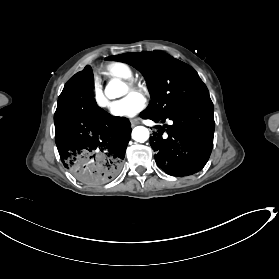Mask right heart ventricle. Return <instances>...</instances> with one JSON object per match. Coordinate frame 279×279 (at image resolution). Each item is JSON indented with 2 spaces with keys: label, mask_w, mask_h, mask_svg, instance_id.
<instances>
[{
  "label": "right heart ventricle",
  "mask_w": 279,
  "mask_h": 279,
  "mask_svg": "<svg viewBox=\"0 0 279 279\" xmlns=\"http://www.w3.org/2000/svg\"><path fill=\"white\" fill-rule=\"evenodd\" d=\"M101 72L111 80H127L133 78L134 72L130 66L122 62H111L101 68Z\"/></svg>",
  "instance_id": "right-heart-ventricle-1"
}]
</instances>
